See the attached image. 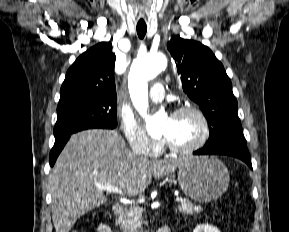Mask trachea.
I'll return each instance as SVG.
<instances>
[{
    "label": "trachea",
    "mask_w": 289,
    "mask_h": 232,
    "mask_svg": "<svg viewBox=\"0 0 289 232\" xmlns=\"http://www.w3.org/2000/svg\"><path fill=\"white\" fill-rule=\"evenodd\" d=\"M147 32L146 24H137V34L140 39H143Z\"/></svg>",
    "instance_id": "3493384b"
}]
</instances>
